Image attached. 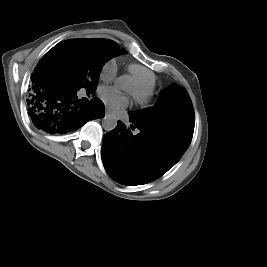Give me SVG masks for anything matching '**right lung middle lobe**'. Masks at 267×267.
<instances>
[{
  "mask_svg": "<svg viewBox=\"0 0 267 267\" xmlns=\"http://www.w3.org/2000/svg\"><path fill=\"white\" fill-rule=\"evenodd\" d=\"M119 53L118 47L99 38L70 39L50 49L35 70L46 69L74 90L84 87L93 93L103 64Z\"/></svg>",
  "mask_w": 267,
  "mask_h": 267,
  "instance_id": "dd1d6c3e",
  "label": "right lung middle lobe"
}]
</instances>
